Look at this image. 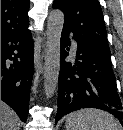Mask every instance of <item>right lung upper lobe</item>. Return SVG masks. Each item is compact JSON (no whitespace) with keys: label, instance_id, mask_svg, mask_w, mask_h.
Returning a JSON list of instances; mask_svg holds the SVG:
<instances>
[{"label":"right lung upper lobe","instance_id":"right-lung-upper-lobe-1","mask_svg":"<svg viewBox=\"0 0 123 130\" xmlns=\"http://www.w3.org/2000/svg\"><path fill=\"white\" fill-rule=\"evenodd\" d=\"M29 0H1V35L28 29Z\"/></svg>","mask_w":123,"mask_h":130}]
</instances>
